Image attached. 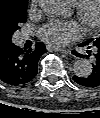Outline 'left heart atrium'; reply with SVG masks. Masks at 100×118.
Here are the masks:
<instances>
[{
	"instance_id": "39dd6f15",
	"label": "left heart atrium",
	"mask_w": 100,
	"mask_h": 118,
	"mask_svg": "<svg viewBox=\"0 0 100 118\" xmlns=\"http://www.w3.org/2000/svg\"><path fill=\"white\" fill-rule=\"evenodd\" d=\"M81 27L74 21L52 19L38 29L39 38L53 48L64 47L81 37Z\"/></svg>"
}]
</instances>
